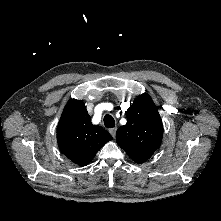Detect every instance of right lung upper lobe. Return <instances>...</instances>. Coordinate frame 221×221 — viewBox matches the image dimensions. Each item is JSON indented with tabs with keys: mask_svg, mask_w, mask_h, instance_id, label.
Returning a JSON list of instances; mask_svg holds the SVG:
<instances>
[{
	"mask_svg": "<svg viewBox=\"0 0 221 221\" xmlns=\"http://www.w3.org/2000/svg\"><path fill=\"white\" fill-rule=\"evenodd\" d=\"M112 136L102 127L91 123L85 104L70 99L57 127V142L61 152L72 162L85 166Z\"/></svg>",
	"mask_w": 221,
	"mask_h": 221,
	"instance_id": "obj_1",
	"label": "right lung upper lobe"
}]
</instances>
